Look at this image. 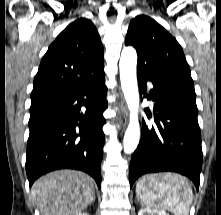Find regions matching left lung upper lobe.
Segmentation results:
<instances>
[{"instance_id": "1", "label": "left lung upper lobe", "mask_w": 221, "mask_h": 215, "mask_svg": "<svg viewBox=\"0 0 221 215\" xmlns=\"http://www.w3.org/2000/svg\"><path fill=\"white\" fill-rule=\"evenodd\" d=\"M138 54L137 73L169 82L195 94L190 69L180 44L159 23L146 15L136 16L125 39Z\"/></svg>"}]
</instances>
